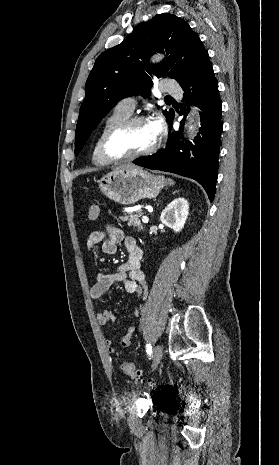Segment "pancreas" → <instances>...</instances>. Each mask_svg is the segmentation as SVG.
<instances>
[{"label": "pancreas", "mask_w": 279, "mask_h": 465, "mask_svg": "<svg viewBox=\"0 0 279 465\" xmlns=\"http://www.w3.org/2000/svg\"><path fill=\"white\" fill-rule=\"evenodd\" d=\"M142 215L141 211L128 212L125 216L122 217L123 221H127L128 226H132L138 232L144 229L143 224L140 221V216Z\"/></svg>", "instance_id": "obj_1"}]
</instances>
